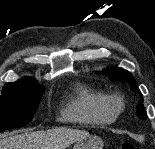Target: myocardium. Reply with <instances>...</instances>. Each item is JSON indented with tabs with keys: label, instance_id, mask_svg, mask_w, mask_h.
Here are the masks:
<instances>
[{
	"label": "myocardium",
	"instance_id": "myocardium-1",
	"mask_svg": "<svg viewBox=\"0 0 155 149\" xmlns=\"http://www.w3.org/2000/svg\"><path fill=\"white\" fill-rule=\"evenodd\" d=\"M124 107L125 103L121 96L117 94L104 95L102 108L114 119L118 118L122 114Z\"/></svg>",
	"mask_w": 155,
	"mask_h": 149
}]
</instances>
